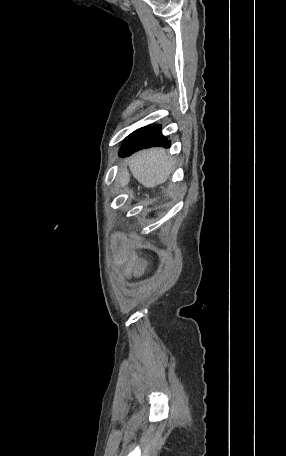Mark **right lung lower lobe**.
Segmentation results:
<instances>
[{"label":"right lung lower lobe","instance_id":"obj_1","mask_svg":"<svg viewBox=\"0 0 286 456\" xmlns=\"http://www.w3.org/2000/svg\"><path fill=\"white\" fill-rule=\"evenodd\" d=\"M151 146H170V141L161 133L160 125H148L131 133L122 144L120 156H129L137 150Z\"/></svg>","mask_w":286,"mask_h":456}]
</instances>
